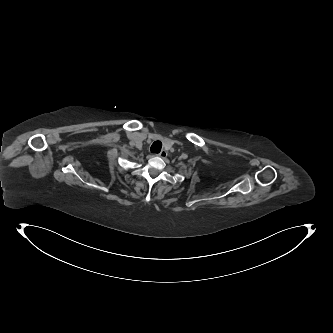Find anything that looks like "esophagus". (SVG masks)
Segmentation results:
<instances>
[{"mask_svg":"<svg viewBox=\"0 0 333 333\" xmlns=\"http://www.w3.org/2000/svg\"><path fill=\"white\" fill-rule=\"evenodd\" d=\"M158 156L165 158L167 156V152L165 150H162L160 153L157 154Z\"/></svg>","mask_w":333,"mask_h":333,"instance_id":"1","label":"esophagus"}]
</instances>
